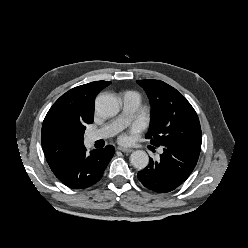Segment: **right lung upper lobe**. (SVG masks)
I'll list each match as a JSON object with an SVG mask.
<instances>
[{
  "mask_svg": "<svg viewBox=\"0 0 248 248\" xmlns=\"http://www.w3.org/2000/svg\"><path fill=\"white\" fill-rule=\"evenodd\" d=\"M110 83L95 81L77 86L63 94L46 114L41 143L52 171L84 147L82 130L93 122L95 97Z\"/></svg>",
  "mask_w": 248,
  "mask_h": 248,
  "instance_id": "right-lung-upper-lobe-1",
  "label": "right lung upper lobe"
}]
</instances>
